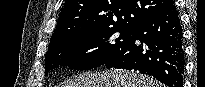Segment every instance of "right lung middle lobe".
<instances>
[{
    "instance_id": "1",
    "label": "right lung middle lobe",
    "mask_w": 205,
    "mask_h": 87,
    "mask_svg": "<svg viewBox=\"0 0 205 87\" xmlns=\"http://www.w3.org/2000/svg\"><path fill=\"white\" fill-rule=\"evenodd\" d=\"M133 32L134 29L106 28L60 39L50 44L46 53L45 74L61 65L73 70L101 66L127 44Z\"/></svg>"
}]
</instances>
